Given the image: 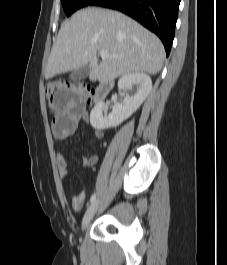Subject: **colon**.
Instances as JSON below:
<instances>
[{
  "instance_id": "colon-1",
  "label": "colon",
  "mask_w": 227,
  "mask_h": 265,
  "mask_svg": "<svg viewBox=\"0 0 227 265\" xmlns=\"http://www.w3.org/2000/svg\"><path fill=\"white\" fill-rule=\"evenodd\" d=\"M56 87H79V91H84V97L89 102L92 99L93 92L90 87L82 84H69L63 82H52L45 85L44 91L46 98L51 102V96L53 91H56Z\"/></svg>"
}]
</instances>
